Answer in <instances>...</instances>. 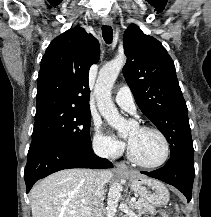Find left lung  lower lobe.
<instances>
[{
    "label": "left lung lower lobe",
    "instance_id": "1",
    "mask_svg": "<svg viewBox=\"0 0 211 217\" xmlns=\"http://www.w3.org/2000/svg\"><path fill=\"white\" fill-rule=\"evenodd\" d=\"M141 173L175 186L184 194L188 202L191 200L195 175L194 157L172 156L162 168Z\"/></svg>",
    "mask_w": 211,
    "mask_h": 217
}]
</instances>
